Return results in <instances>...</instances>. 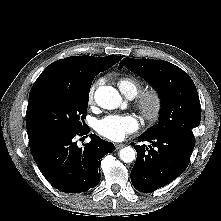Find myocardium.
Listing matches in <instances>:
<instances>
[{"label": "myocardium", "mask_w": 221, "mask_h": 221, "mask_svg": "<svg viewBox=\"0 0 221 221\" xmlns=\"http://www.w3.org/2000/svg\"><path fill=\"white\" fill-rule=\"evenodd\" d=\"M136 106L147 121L157 120L163 110L162 94L157 89H148L139 94Z\"/></svg>", "instance_id": "1"}]
</instances>
